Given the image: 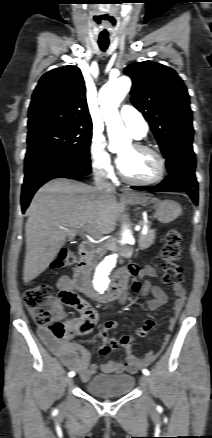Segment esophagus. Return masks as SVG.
<instances>
[{
    "label": "esophagus",
    "mask_w": 212,
    "mask_h": 438,
    "mask_svg": "<svg viewBox=\"0 0 212 438\" xmlns=\"http://www.w3.org/2000/svg\"><path fill=\"white\" fill-rule=\"evenodd\" d=\"M123 192H124L125 194H128V193H129V191H128L127 189H124Z\"/></svg>",
    "instance_id": "obj_1"
}]
</instances>
